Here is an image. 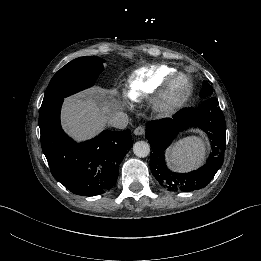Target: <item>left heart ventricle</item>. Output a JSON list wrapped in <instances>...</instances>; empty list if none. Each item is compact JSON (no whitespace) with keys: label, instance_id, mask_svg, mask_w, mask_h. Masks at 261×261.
<instances>
[{"label":"left heart ventricle","instance_id":"left-heart-ventricle-1","mask_svg":"<svg viewBox=\"0 0 261 261\" xmlns=\"http://www.w3.org/2000/svg\"><path fill=\"white\" fill-rule=\"evenodd\" d=\"M178 91L179 92H183L184 91V85L183 84H179Z\"/></svg>","mask_w":261,"mask_h":261}]
</instances>
